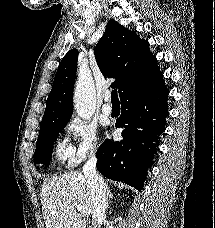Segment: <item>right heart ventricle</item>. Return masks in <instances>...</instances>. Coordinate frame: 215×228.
Listing matches in <instances>:
<instances>
[{
    "label": "right heart ventricle",
    "mask_w": 215,
    "mask_h": 228,
    "mask_svg": "<svg viewBox=\"0 0 215 228\" xmlns=\"http://www.w3.org/2000/svg\"><path fill=\"white\" fill-rule=\"evenodd\" d=\"M71 147L68 145L66 140H62L58 143L56 147V157L60 162L70 158Z\"/></svg>",
    "instance_id": "1"
}]
</instances>
